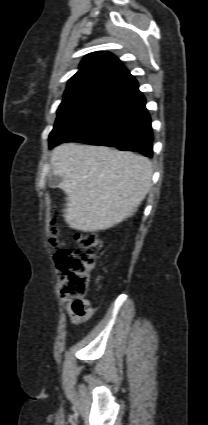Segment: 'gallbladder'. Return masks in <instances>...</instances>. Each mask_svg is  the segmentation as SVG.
Instances as JSON below:
<instances>
[{
  "instance_id": "1",
  "label": "gallbladder",
  "mask_w": 208,
  "mask_h": 425,
  "mask_svg": "<svg viewBox=\"0 0 208 425\" xmlns=\"http://www.w3.org/2000/svg\"><path fill=\"white\" fill-rule=\"evenodd\" d=\"M62 178L54 173H51L48 177V186L51 188H56L61 183Z\"/></svg>"
}]
</instances>
